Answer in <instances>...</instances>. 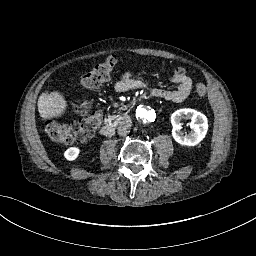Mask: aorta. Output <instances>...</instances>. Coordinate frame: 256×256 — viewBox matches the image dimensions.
Here are the masks:
<instances>
[{
  "mask_svg": "<svg viewBox=\"0 0 256 256\" xmlns=\"http://www.w3.org/2000/svg\"><path fill=\"white\" fill-rule=\"evenodd\" d=\"M138 118L144 123H151L155 119V111L151 107H142L138 111Z\"/></svg>",
  "mask_w": 256,
  "mask_h": 256,
  "instance_id": "762f6f07",
  "label": "aorta"
}]
</instances>
